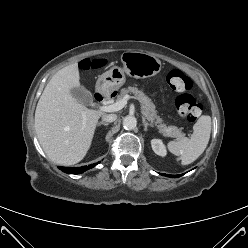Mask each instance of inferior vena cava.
<instances>
[{
	"mask_svg": "<svg viewBox=\"0 0 248 248\" xmlns=\"http://www.w3.org/2000/svg\"><path fill=\"white\" fill-rule=\"evenodd\" d=\"M117 119L116 114H105L102 116V120L108 123L114 122Z\"/></svg>",
	"mask_w": 248,
	"mask_h": 248,
	"instance_id": "602c4592",
	"label": "inferior vena cava"
}]
</instances>
